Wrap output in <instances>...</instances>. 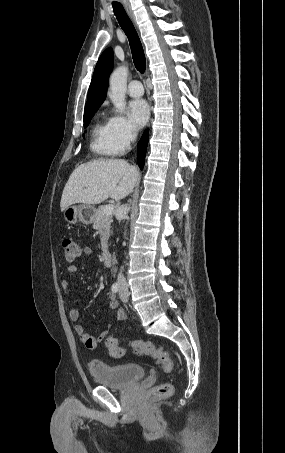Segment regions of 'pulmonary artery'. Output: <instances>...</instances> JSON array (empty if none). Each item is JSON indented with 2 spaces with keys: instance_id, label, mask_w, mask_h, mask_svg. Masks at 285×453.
<instances>
[{
  "instance_id": "pulmonary-artery-1",
  "label": "pulmonary artery",
  "mask_w": 285,
  "mask_h": 453,
  "mask_svg": "<svg viewBox=\"0 0 285 453\" xmlns=\"http://www.w3.org/2000/svg\"><path fill=\"white\" fill-rule=\"evenodd\" d=\"M127 93L131 97H141L144 94V89L139 80H132L128 84Z\"/></svg>"
}]
</instances>
